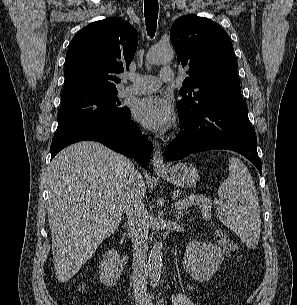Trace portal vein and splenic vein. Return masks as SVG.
Here are the masks:
<instances>
[{
	"mask_svg": "<svg viewBox=\"0 0 297 305\" xmlns=\"http://www.w3.org/2000/svg\"><path fill=\"white\" fill-rule=\"evenodd\" d=\"M192 201H193V196H190L187 199L181 200L178 203V207H182L183 204H186L187 202H192Z\"/></svg>",
	"mask_w": 297,
	"mask_h": 305,
	"instance_id": "18ae733b",
	"label": "portal vein and splenic vein"
}]
</instances>
